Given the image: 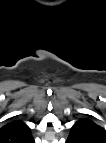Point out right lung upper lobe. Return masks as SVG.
<instances>
[{"label": "right lung upper lobe", "instance_id": "cb5924a9", "mask_svg": "<svg viewBox=\"0 0 106 143\" xmlns=\"http://www.w3.org/2000/svg\"><path fill=\"white\" fill-rule=\"evenodd\" d=\"M31 138L29 127L22 121H12L0 127V143H27Z\"/></svg>", "mask_w": 106, "mask_h": 143}]
</instances>
